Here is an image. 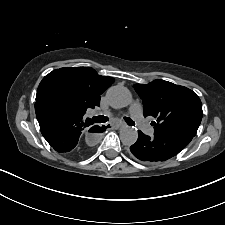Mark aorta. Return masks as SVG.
Returning a JSON list of instances; mask_svg holds the SVG:
<instances>
[{
	"label": "aorta",
	"mask_w": 225,
	"mask_h": 225,
	"mask_svg": "<svg viewBox=\"0 0 225 225\" xmlns=\"http://www.w3.org/2000/svg\"><path fill=\"white\" fill-rule=\"evenodd\" d=\"M107 98L112 107H127L132 102L130 91L123 86H113L107 92ZM120 139L124 145H133L138 139V132L134 127L125 126L120 130Z\"/></svg>",
	"instance_id": "aorta-1"
}]
</instances>
